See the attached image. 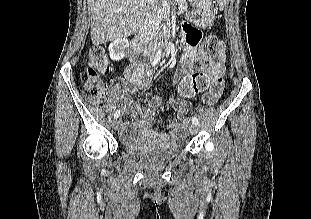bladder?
Returning a JSON list of instances; mask_svg holds the SVG:
<instances>
[{"label": "bladder", "instance_id": "obj_1", "mask_svg": "<svg viewBox=\"0 0 311 219\" xmlns=\"http://www.w3.org/2000/svg\"><path fill=\"white\" fill-rule=\"evenodd\" d=\"M124 148L132 155L144 157L153 162L173 159L180 155L183 150V146L181 144L147 146L139 141L127 142L124 144Z\"/></svg>", "mask_w": 311, "mask_h": 219}]
</instances>
